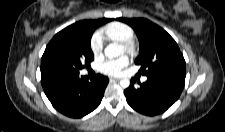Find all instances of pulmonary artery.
<instances>
[{
	"instance_id": "pulmonary-artery-1",
	"label": "pulmonary artery",
	"mask_w": 225,
	"mask_h": 132,
	"mask_svg": "<svg viewBox=\"0 0 225 132\" xmlns=\"http://www.w3.org/2000/svg\"><path fill=\"white\" fill-rule=\"evenodd\" d=\"M146 80H147V78H146V77H143V78H142V81H143V82H145Z\"/></svg>"
}]
</instances>
